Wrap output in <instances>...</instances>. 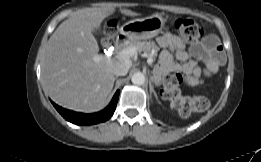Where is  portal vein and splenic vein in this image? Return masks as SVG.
Returning <instances> with one entry per match:
<instances>
[{
    "label": "portal vein and splenic vein",
    "instance_id": "portal-vein-and-splenic-vein-1",
    "mask_svg": "<svg viewBox=\"0 0 261 162\" xmlns=\"http://www.w3.org/2000/svg\"><path fill=\"white\" fill-rule=\"evenodd\" d=\"M138 53V49L136 47L133 46H128L123 48L122 50H120L116 57L120 58V59H129L130 57H133L134 55H136ZM103 58H109V56L107 55L106 57H103L102 55H96L94 57L95 61H100ZM153 62V58L149 57L147 60L148 64H151Z\"/></svg>",
    "mask_w": 261,
    "mask_h": 162
}]
</instances>
